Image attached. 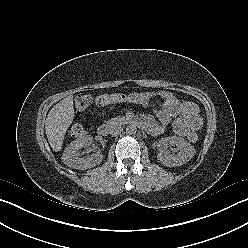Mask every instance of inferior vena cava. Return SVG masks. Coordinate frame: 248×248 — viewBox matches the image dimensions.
Segmentation results:
<instances>
[{
    "instance_id": "obj_1",
    "label": "inferior vena cava",
    "mask_w": 248,
    "mask_h": 248,
    "mask_svg": "<svg viewBox=\"0 0 248 248\" xmlns=\"http://www.w3.org/2000/svg\"><path fill=\"white\" fill-rule=\"evenodd\" d=\"M122 131H123V128L122 127H115V128H113L111 130L110 134L112 136H118V135H120L122 133Z\"/></svg>"
}]
</instances>
